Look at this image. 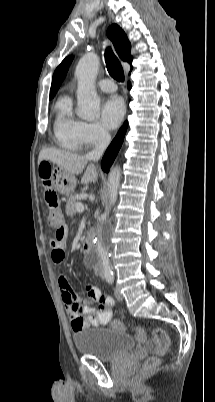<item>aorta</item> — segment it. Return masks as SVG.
Listing matches in <instances>:
<instances>
[{
  "label": "aorta",
  "instance_id": "762f6f07",
  "mask_svg": "<svg viewBox=\"0 0 215 402\" xmlns=\"http://www.w3.org/2000/svg\"><path fill=\"white\" fill-rule=\"evenodd\" d=\"M99 70V58L93 53L84 55L78 62L75 76L78 82L77 88V115L87 121H92L100 116V99L95 88V80ZM121 178V169L116 166L108 175L109 208L106 209L101 219L104 221L109 209L115 204ZM92 261L101 263L106 278L113 277L111 266L110 242L108 231L101 224L96 235V246L93 251Z\"/></svg>",
  "mask_w": 215,
  "mask_h": 402
}]
</instances>
